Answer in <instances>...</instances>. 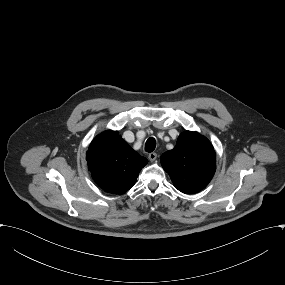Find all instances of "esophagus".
<instances>
[{
	"mask_svg": "<svg viewBox=\"0 0 285 285\" xmlns=\"http://www.w3.org/2000/svg\"><path fill=\"white\" fill-rule=\"evenodd\" d=\"M156 157H157V154L155 152H151L148 155V158L151 162H153L156 159Z\"/></svg>",
	"mask_w": 285,
	"mask_h": 285,
	"instance_id": "1",
	"label": "esophagus"
}]
</instances>
